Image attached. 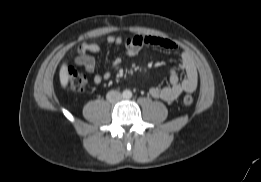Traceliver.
Wrapping results in <instances>:
<instances>
[{
    "mask_svg": "<svg viewBox=\"0 0 261 182\" xmlns=\"http://www.w3.org/2000/svg\"><path fill=\"white\" fill-rule=\"evenodd\" d=\"M60 83L63 88H65L69 81V75L67 73V65L63 64L60 69Z\"/></svg>",
    "mask_w": 261,
    "mask_h": 182,
    "instance_id": "1",
    "label": "liver"
}]
</instances>
